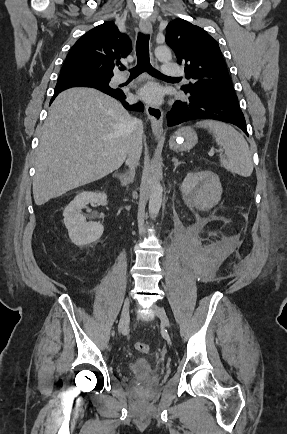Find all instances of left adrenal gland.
<instances>
[{
  "instance_id": "a2214340",
  "label": "left adrenal gland",
  "mask_w": 287,
  "mask_h": 434,
  "mask_svg": "<svg viewBox=\"0 0 287 434\" xmlns=\"http://www.w3.org/2000/svg\"><path fill=\"white\" fill-rule=\"evenodd\" d=\"M172 162L174 163V170L178 167V165L183 163L181 161H178V159L176 157L172 158Z\"/></svg>"
}]
</instances>
